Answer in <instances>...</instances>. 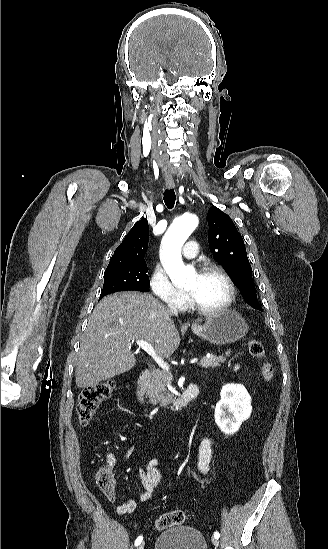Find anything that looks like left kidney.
I'll list each match as a JSON object with an SVG mask.
<instances>
[{"mask_svg": "<svg viewBox=\"0 0 328 549\" xmlns=\"http://www.w3.org/2000/svg\"><path fill=\"white\" fill-rule=\"evenodd\" d=\"M215 407V423L224 435H234L252 413L251 397L243 385H224Z\"/></svg>", "mask_w": 328, "mask_h": 549, "instance_id": "obj_1", "label": "left kidney"}]
</instances>
